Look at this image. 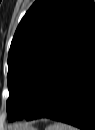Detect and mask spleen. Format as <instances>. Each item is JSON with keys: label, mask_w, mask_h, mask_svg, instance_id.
I'll list each match as a JSON object with an SVG mask.
<instances>
[{"label": "spleen", "mask_w": 95, "mask_h": 130, "mask_svg": "<svg viewBox=\"0 0 95 130\" xmlns=\"http://www.w3.org/2000/svg\"><path fill=\"white\" fill-rule=\"evenodd\" d=\"M46 130H77L75 127L64 123H54L46 127Z\"/></svg>", "instance_id": "1"}]
</instances>
